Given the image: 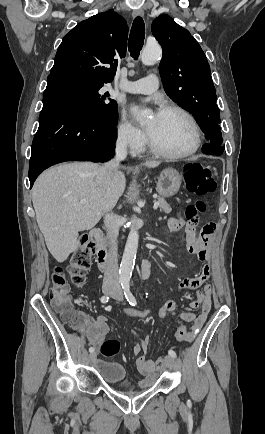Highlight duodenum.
I'll use <instances>...</instances> for the list:
<instances>
[{"mask_svg": "<svg viewBox=\"0 0 265 434\" xmlns=\"http://www.w3.org/2000/svg\"><path fill=\"white\" fill-rule=\"evenodd\" d=\"M90 238L92 241L98 244L101 240V229L93 228L90 231ZM110 261L111 258L109 256L107 248L104 246H99L96 251V263L98 268L103 272L106 271L110 264ZM139 271L142 280L148 279L153 272V265L151 259H143L139 265Z\"/></svg>", "mask_w": 265, "mask_h": 434, "instance_id": "duodenum-1", "label": "duodenum"}]
</instances>
